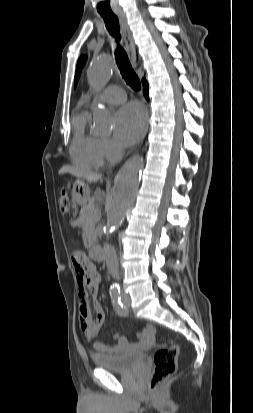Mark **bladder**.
Masks as SVG:
<instances>
[{
    "mask_svg": "<svg viewBox=\"0 0 253 413\" xmlns=\"http://www.w3.org/2000/svg\"><path fill=\"white\" fill-rule=\"evenodd\" d=\"M145 361L142 351H130L115 355H95L93 362L96 366L115 372H127L141 366Z\"/></svg>",
    "mask_w": 253,
    "mask_h": 413,
    "instance_id": "obj_1",
    "label": "bladder"
}]
</instances>
